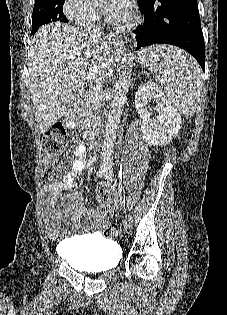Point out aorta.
<instances>
[{"mask_svg":"<svg viewBox=\"0 0 227 315\" xmlns=\"http://www.w3.org/2000/svg\"><path fill=\"white\" fill-rule=\"evenodd\" d=\"M129 71L123 70L117 81L114 83V97L111 103L107 123L105 126L104 142L102 145L101 161L109 163L112 161L114 141L120 121V116L123 111V106L126 100V92L129 86L128 79Z\"/></svg>","mask_w":227,"mask_h":315,"instance_id":"obj_1","label":"aorta"}]
</instances>
